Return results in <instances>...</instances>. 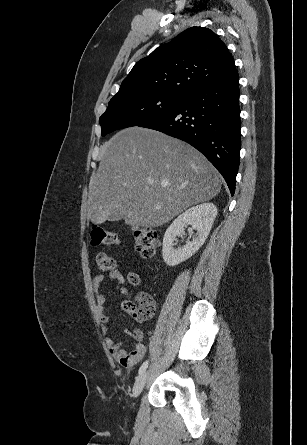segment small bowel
Listing matches in <instances>:
<instances>
[{
	"instance_id": "c3829d8e",
	"label": "small bowel",
	"mask_w": 307,
	"mask_h": 445,
	"mask_svg": "<svg viewBox=\"0 0 307 445\" xmlns=\"http://www.w3.org/2000/svg\"><path fill=\"white\" fill-rule=\"evenodd\" d=\"M106 278L111 281H115L118 284H123L125 281L124 274L118 270L113 269L107 273ZM105 280V276L103 274H98L93 279V289L96 294V301L98 304V313L100 320L104 324H108L110 322V318L108 316L105 304L107 301V296L101 292V285ZM126 335L132 337L133 339L140 341L143 337V334L140 330L124 331ZM106 343L109 347L110 353L112 356L120 362L121 365L127 368H131L139 363L145 355L146 348L143 344L137 343L132 350H126L123 347V342L115 340L113 337H108L106 339Z\"/></svg>"
}]
</instances>
